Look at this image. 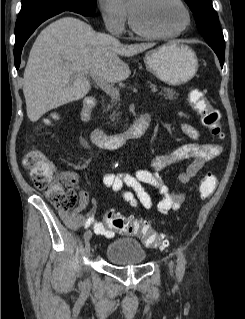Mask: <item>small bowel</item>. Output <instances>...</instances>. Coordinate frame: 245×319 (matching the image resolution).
Masks as SVG:
<instances>
[{
    "label": "small bowel",
    "instance_id": "obj_1",
    "mask_svg": "<svg viewBox=\"0 0 245 319\" xmlns=\"http://www.w3.org/2000/svg\"><path fill=\"white\" fill-rule=\"evenodd\" d=\"M181 129L193 142L180 145L171 153L153 156L150 160V169H137L132 173L105 174L103 176L104 186L115 192L132 209L142 207L151 210L154 204L143 187V185H149L163 196L156 206L161 214L178 210L185 201L186 195L181 190H171L160 172L176 162L189 160L187 168L178 176L179 182L186 185L222 151L217 144L197 142L200 134L192 125L182 123ZM70 174L71 184L79 193V204L73 212L59 211L58 215L61 220L73 230L90 228L96 235L113 238L115 232L96 217L97 204L95 201L92 202L90 210L84 213L90 202L89 194L79 186L77 175Z\"/></svg>",
    "mask_w": 245,
    "mask_h": 319
}]
</instances>
